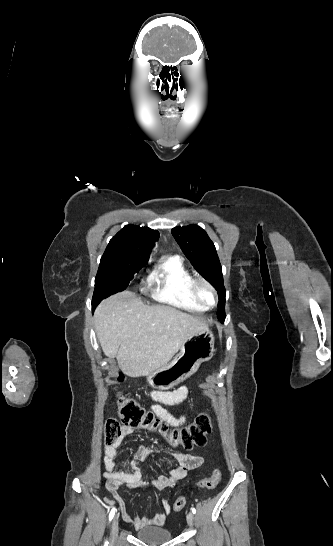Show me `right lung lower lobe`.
<instances>
[{
  "label": "right lung lower lobe",
  "instance_id": "right-lung-lower-lobe-1",
  "mask_svg": "<svg viewBox=\"0 0 333 546\" xmlns=\"http://www.w3.org/2000/svg\"><path fill=\"white\" fill-rule=\"evenodd\" d=\"M96 307L95 303H92V309L94 310Z\"/></svg>",
  "mask_w": 333,
  "mask_h": 546
}]
</instances>
